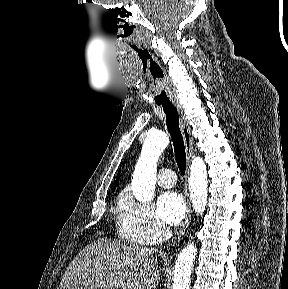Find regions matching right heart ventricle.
Here are the masks:
<instances>
[{"instance_id": "1", "label": "right heart ventricle", "mask_w": 288, "mask_h": 289, "mask_svg": "<svg viewBox=\"0 0 288 289\" xmlns=\"http://www.w3.org/2000/svg\"><path fill=\"white\" fill-rule=\"evenodd\" d=\"M123 198H124V196H121V197L119 198L118 212L120 211V206H121V203H122V201H123Z\"/></svg>"}]
</instances>
